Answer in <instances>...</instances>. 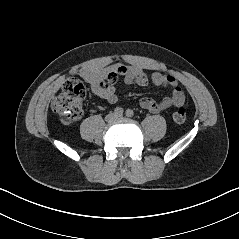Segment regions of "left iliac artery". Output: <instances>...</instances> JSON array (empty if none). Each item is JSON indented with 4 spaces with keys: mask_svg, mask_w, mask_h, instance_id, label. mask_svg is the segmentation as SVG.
Returning a JSON list of instances; mask_svg holds the SVG:
<instances>
[{
    "mask_svg": "<svg viewBox=\"0 0 239 239\" xmlns=\"http://www.w3.org/2000/svg\"><path fill=\"white\" fill-rule=\"evenodd\" d=\"M125 114L127 117H132L134 115V112L131 109H127Z\"/></svg>",
    "mask_w": 239,
    "mask_h": 239,
    "instance_id": "left-iliac-artery-1",
    "label": "left iliac artery"
}]
</instances>
